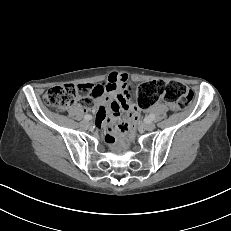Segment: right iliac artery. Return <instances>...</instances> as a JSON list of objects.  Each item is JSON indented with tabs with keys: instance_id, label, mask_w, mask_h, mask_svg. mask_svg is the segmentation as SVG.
Listing matches in <instances>:
<instances>
[{
	"instance_id": "82829eb1",
	"label": "right iliac artery",
	"mask_w": 231,
	"mask_h": 231,
	"mask_svg": "<svg viewBox=\"0 0 231 231\" xmlns=\"http://www.w3.org/2000/svg\"><path fill=\"white\" fill-rule=\"evenodd\" d=\"M92 119V116L91 115H85L84 116V120H87V121H89V120H91Z\"/></svg>"
}]
</instances>
